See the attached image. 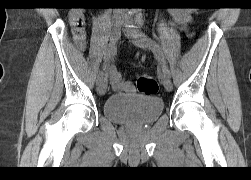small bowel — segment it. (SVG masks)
I'll list each match as a JSON object with an SVG mask.
<instances>
[{"label": "small bowel", "mask_w": 251, "mask_h": 180, "mask_svg": "<svg viewBox=\"0 0 251 180\" xmlns=\"http://www.w3.org/2000/svg\"><path fill=\"white\" fill-rule=\"evenodd\" d=\"M171 16L175 21L179 23L181 29L189 33L188 24L191 20V12L184 9H173L170 11ZM69 22L73 31V40L76 46L83 50L86 46V18L81 10H74L69 15ZM190 35V33H189ZM112 87L116 91H123L127 93H133L135 91L134 86L126 82L123 77L118 73L111 74Z\"/></svg>", "instance_id": "small-bowel-1"}]
</instances>
